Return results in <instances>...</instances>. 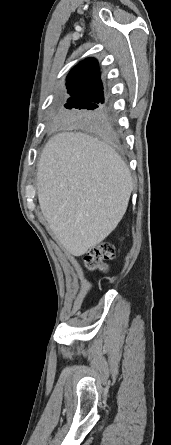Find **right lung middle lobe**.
I'll return each instance as SVG.
<instances>
[{"label": "right lung middle lobe", "mask_w": 171, "mask_h": 445, "mask_svg": "<svg viewBox=\"0 0 171 445\" xmlns=\"http://www.w3.org/2000/svg\"><path fill=\"white\" fill-rule=\"evenodd\" d=\"M69 98L57 115L58 120L81 126L99 135H105L101 118L108 109L100 96L68 93Z\"/></svg>", "instance_id": "right-lung-middle-lobe-1"}]
</instances>
